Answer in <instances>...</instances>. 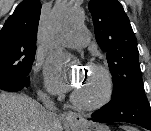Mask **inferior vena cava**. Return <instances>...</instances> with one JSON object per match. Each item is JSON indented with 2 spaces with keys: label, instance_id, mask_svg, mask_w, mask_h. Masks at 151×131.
I'll list each match as a JSON object with an SVG mask.
<instances>
[{
  "label": "inferior vena cava",
  "instance_id": "1",
  "mask_svg": "<svg viewBox=\"0 0 151 131\" xmlns=\"http://www.w3.org/2000/svg\"><path fill=\"white\" fill-rule=\"evenodd\" d=\"M45 106L49 109V110H52L53 109V102L50 101L48 98L45 100ZM53 116V115H52ZM60 126V122L57 118H55L53 116V131H57L58 127Z\"/></svg>",
  "mask_w": 151,
  "mask_h": 131
}]
</instances>
